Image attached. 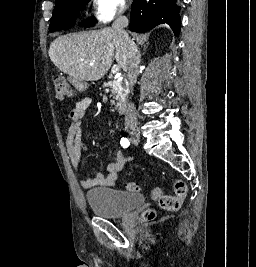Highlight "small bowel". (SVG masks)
Instances as JSON below:
<instances>
[{
    "label": "small bowel",
    "mask_w": 256,
    "mask_h": 267,
    "mask_svg": "<svg viewBox=\"0 0 256 267\" xmlns=\"http://www.w3.org/2000/svg\"><path fill=\"white\" fill-rule=\"evenodd\" d=\"M91 104V100L85 97L78 101L73 109L69 112L68 118L70 125L67 129L65 146L68 154V158L75 172L81 174V154L86 151L84 143L81 138L83 130V119ZM133 158L125 156L122 152H117L115 160L108 164L107 174L102 172L95 173L92 177H85L81 179V186L84 189H92L94 187H113L118 179L119 173L125 167L126 163Z\"/></svg>",
    "instance_id": "c3829d8e"
}]
</instances>
